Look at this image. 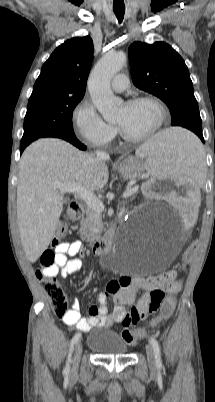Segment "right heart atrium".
I'll return each instance as SVG.
<instances>
[{"mask_svg":"<svg viewBox=\"0 0 215 402\" xmlns=\"http://www.w3.org/2000/svg\"><path fill=\"white\" fill-rule=\"evenodd\" d=\"M73 120L77 136L91 146L106 147L116 136V128L99 115L88 99L76 106Z\"/></svg>","mask_w":215,"mask_h":402,"instance_id":"right-heart-atrium-1","label":"right heart atrium"}]
</instances>
